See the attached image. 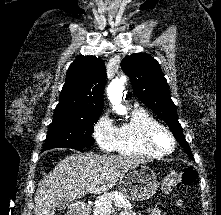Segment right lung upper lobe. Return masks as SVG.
I'll return each mask as SVG.
<instances>
[{"label":"right lung upper lobe","mask_w":221,"mask_h":215,"mask_svg":"<svg viewBox=\"0 0 221 215\" xmlns=\"http://www.w3.org/2000/svg\"><path fill=\"white\" fill-rule=\"evenodd\" d=\"M106 69L102 59L79 56L67 70L60 101L54 113L76 111L101 113Z\"/></svg>","instance_id":"cb5924a9"}]
</instances>
